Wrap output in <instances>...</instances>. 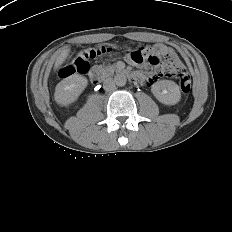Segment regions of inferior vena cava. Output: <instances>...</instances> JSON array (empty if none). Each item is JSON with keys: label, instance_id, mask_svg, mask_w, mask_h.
<instances>
[{"label": "inferior vena cava", "instance_id": "obj_1", "mask_svg": "<svg viewBox=\"0 0 232 232\" xmlns=\"http://www.w3.org/2000/svg\"><path fill=\"white\" fill-rule=\"evenodd\" d=\"M115 81L112 79V78H107L105 81H104V84H103V88L106 90V91H113L115 90Z\"/></svg>", "mask_w": 232, "mask_h": 232}]
</instances>
